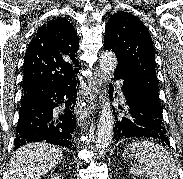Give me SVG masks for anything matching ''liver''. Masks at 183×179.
<instances>
[{"label": "liver", "mask_w": 183, "mask_h": 179, "mask_svg": "<svg viewBox=\"0 0 183 179\" xmlns=\"http://www.w3.org/2000/svg\"><path fill=\"white\" fill-rule=\"evenodd\" d=\"M62 159L57 146L44 142L26 144L13 153L8 179H41Z\"/></svg>", "instance_id": "6515ba94"}]
</instances>
